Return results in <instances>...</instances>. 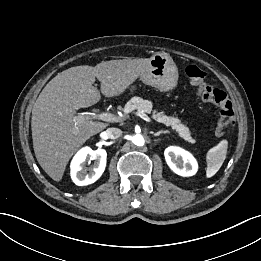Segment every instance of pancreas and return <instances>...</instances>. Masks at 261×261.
I'll use <instances>...</instances> for the list:
<instances>
[{
  "label": "pancreas",
  "mask_w": 261,
  "mask_h": 261,
  "mask_svg": "<svg viewBox=\"0 0 261 261\" xmlns=\"http://www.w3.org/2000/svg\"><path fill=\"white\" fill-rule=\"evenodd\" d=\"M134 110L143 113H152V116L156 121L163 123L166 126H170L185 141L190 143L196 142V140L192 138L189 128L182 124L180 119L167 116L164 112L153 110V103L151 101L144 100L141 97L131 98L125 105L124 111L126 114H128Z\"/></svg>",
  "instance_id": "obj_1"
}]
</instances>
